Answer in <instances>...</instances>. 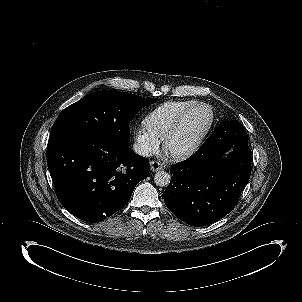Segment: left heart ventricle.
Returning <instances> with one entry per match:
<instances>
[{
	"label": "left heart ventricle",
	"mask_w": 302,
	"mask_h": 302,
	"mask_svg": "<svg viewBox=\"0 0 302 302\" xmlns=\"http://www.w3.org/2000/svg\"><path fill=\"white\" fill-rule=\"evenodd\" d=\"M207 121L205 110H196L187 116L171 138L170 145L174 150H181L191 145L199 136Z\"/></svg>",
	"instance_id": "obj_1"
}]
</instances>
